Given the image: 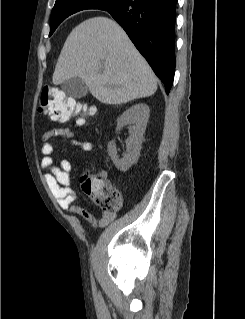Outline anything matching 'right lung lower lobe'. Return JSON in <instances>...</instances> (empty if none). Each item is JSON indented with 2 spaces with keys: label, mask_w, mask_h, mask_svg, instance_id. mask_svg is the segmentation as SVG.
I'll return each mask as SVG.
<instances>
[{
  "label": "right lung lower lobe",
  "mask_w": 245,
  "mask_h": 319,
  "mask_svg": "<svg viewBox=\"0 0 245 319\" xmlns=\"http://www.w3.org/2000/svg\"><path fill=\"white\" fill-rule=\"evenodd\" d=\"M177 0H123L102 9L126 31L168 94L175 73V6Z\"/></svg>",
  "instance_id": "obj_1"
}]
</instances>
